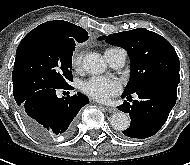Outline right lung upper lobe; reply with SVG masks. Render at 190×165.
Returning a JSON list of instances; mask_svg holds the SVG:
<instances>
[{
  "mask_svg": "<svg viewBox=\"0 0 190 165\" xmlns=\"http://www.w3.org/2000/svg\"><path fill=\"white\" fill-rule=\"evenodd\" d=\"M39 26L56 28L73 37L87 36L89 38L88 33L83 28L63 20L48 21Z\"/></svg>",
  "mask_w": 190,
  "mask_h": 165,
  "instance_id": "1",
  "label": "right lung upper lobe"
}]
</instances>
